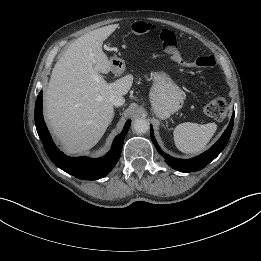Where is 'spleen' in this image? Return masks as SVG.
<instances>
[{"label": "spleen", "mask_w": 261, "mask_h": 261, "mask_svg": "<svg viewBox=\"0 0 261 261\" xmlns=\"http://www.w3.org/2000/svg\"><path fill=\"white\" fill-rule=\"evenodd\" d=\"M217 130L215 123L197 124L185 122L174 129L176 147L184 153H199L203 151Z\"/></svg>", "instance_id": "obj_1"}]
</instances>
